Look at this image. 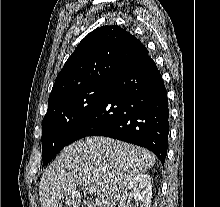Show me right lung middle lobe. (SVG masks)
I'll return each instance as SVG.
<instances>
[{"label":"right lung middle lobe","instance_id":"1","mask_svg":"<svg viewBox=\"0 0 220 207\" xmlns=\"http://www.w3.org/2000/svg\"><path fill=\"white\" fill-rule=\"evenodd\" d=\"M108 82L87 85L48 102L42 125L43 165L65 146L80 124L99 104Z\"/></svg>","mask_w":220,"mask_h":207}]
</instances>
